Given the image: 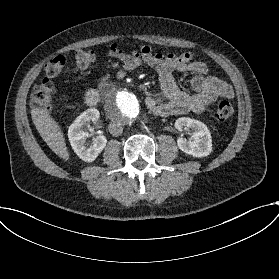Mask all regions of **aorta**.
Listing matches in <instances>:
<instances>
[{"label": "aorta", "instance_id": "762f6f07", "mask_svg": "<svg viewBox=\"0 0 279 279\" xmlns=\"http://www.w3.org/2000/svg\"><path fill=\"white\" fill-rule=\"evenodd\" d=\"M106 113L112 122L129 124L140 113V101L127 90H119L111 93L106 101Z\"/></svg>", "mask_w": 279, "mask_h": 279}]
</instances>
